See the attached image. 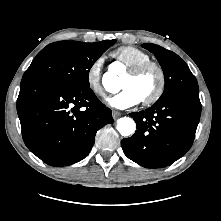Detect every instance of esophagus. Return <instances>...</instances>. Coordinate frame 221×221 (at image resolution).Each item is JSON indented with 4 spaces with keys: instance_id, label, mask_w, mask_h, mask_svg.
<instances>
[{
    "instance_id": "1",
    "label": "esophagus",
    "mask_w": 221,
    "mask_h": 221,
    "mask_svg": "<svg viewBox=\"0 0 221 221\" xmlns=\"http://www.w3.org/2000/svg\"><path fill=\"white\" fill-rule=\"evenodd\" d=\"M121 116V112L113 110L112 111V117L116 120Z\"/></svg>"
}]
</instances>
